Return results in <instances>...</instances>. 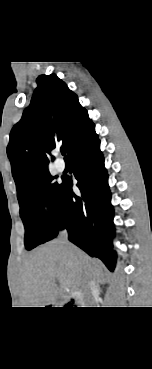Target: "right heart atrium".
Instances as JSON below:
<instances>
[{
    "label": "right heart atrium",
    "mask_w": 152,
    "mask_h": 369,
    "mask_svg": "<svg viewBox=\"0 0 152 369\" xmlns=\"http://www.w3.org/2000/svg\"><path fill=\"white\" fill-rule=\"evenodd\" d=\"M43 212H44V214H45L46 217H49L51 215L52 208H51V206H50L49 203H47V202L44 203V205H43Z\"/></svg>",
    "instance_id": "d8ad5b80"
}]
</instances>
